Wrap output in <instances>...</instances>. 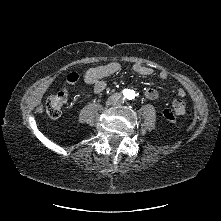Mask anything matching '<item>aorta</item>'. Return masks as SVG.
Instances as JSON below:
<instances>
[{"mask_svg":"<svg viewBox=\"0 0 221 221\" xmlns=\"http://www.w3.org/2000/svg\"><path fill=\"white\" fill-rule=\"evenodd\" d=\"M135 92L134 91H130V92H128V97L130 98V99H133V98H135Z\"/></svg>","mask_w":221,"mask_h":221,"instance_id":"762f6f07","label":"aorta"}]
</instances>
